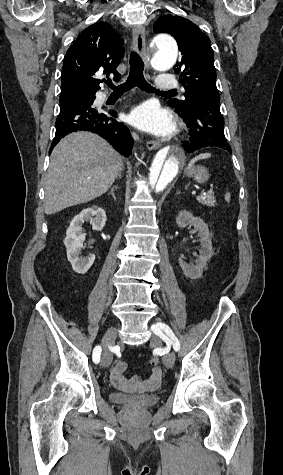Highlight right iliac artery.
I'll list each match as a JSON object with an SVG mask.
<instances>
[{"label": "right iliac artery", "instance_id": "82829eb1", "mask_svg": "<svg viewBox=\"0 0 283 475\" xmlns=\"http://www.w3.org/2000/svg\"><path fill=\"white\" fill-rule=\"evenodd\" d=\"M101 346H96L93 350V361L97 364L100 361Z\"/></svg>", "mask_w": 283, "mask_h": 475}]
</instances>
